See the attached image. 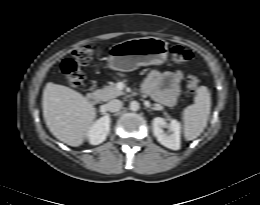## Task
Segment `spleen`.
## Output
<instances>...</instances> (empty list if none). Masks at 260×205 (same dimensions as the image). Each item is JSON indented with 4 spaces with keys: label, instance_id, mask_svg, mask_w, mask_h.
I'll use <instances>...</instances> for the list:
<instances>
[{
    "label": "spleen",
    "instance_id": "obj_1",
    "mask_svg": "<svg viewBox=\"0 0 260 205\" xmlns=\"http://www.w3.org/2000/svg\"><path fill=\"white\" fill-rule=\"evenodd\" d=\"M211 97L206 86L197 88L194 104L183 111L184 136L190 141L196 139L206 128L210 115Z\"/></svg>",
    "mask_w": 260,
    "mask_h": 205
}]
</instances>
